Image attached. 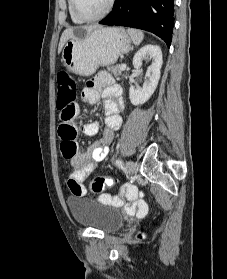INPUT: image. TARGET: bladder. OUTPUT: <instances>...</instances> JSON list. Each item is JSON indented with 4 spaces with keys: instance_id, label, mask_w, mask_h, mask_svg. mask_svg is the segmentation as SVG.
<instances>
[{
    "instance_id": "31cf9c89",
    "label": "bladder",
    "mask_w": 227,
    "mask_h": 279,
    "mask_svg": "<svg viewBox=\"0 0 227 279\" xmlns=\"http://www.w3.org/2000/svg\"><path fill=\"white\" fill-rule=\"evenodd\" d=\"M68 207L74 221L80 225L102 230L106 233L117 231L123 226V216L118 208L93 198L70 196Z\"/></svg>"
}]
</instances>
